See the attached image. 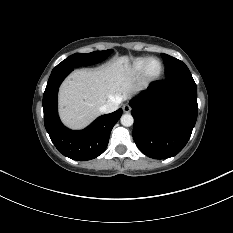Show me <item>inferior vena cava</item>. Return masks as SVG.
Segmentation results:
<instances>
[{
    "label": "inferior vena cava",
    "instance_id": "obj_1",
    "mask_svg": "<svg viewBox=\"0 0 233 233\" xmlns=\"http://www.w3.org/2000/svg\"><path fill=\"white\" fill-rule=\"evenodd\" d=\"M119 101L115 100L113 102L106 103L99 108L101 113H111L118 109Z\"/></svg>",
    "mask_w": 233,
    "mask_h": 233
}]
</instances>
